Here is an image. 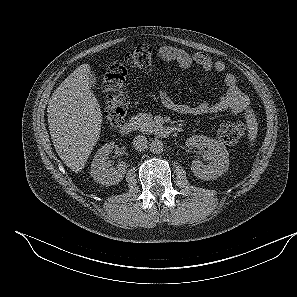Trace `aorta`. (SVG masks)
Returning a JSON list of instances; mask_svg holds the SVG:
<instances>
[{"mask_svg":"<svg viewBox=\"0 0 297 297\" xmlns=\"http://www.w3.org/2000/svg\"><path fill=\"white\" fill-rule=\"evenodd\" d=\"M163 149H164V145L162 141L159 139L152 140V142L150 143V151L154 154L162 153Z\"/></svg>","mask_w":297,"mask_h":297,"instance_id":"1","label":"aorta"}]
</instances>
